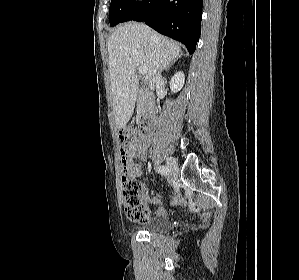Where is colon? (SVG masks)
I'll list each match as a JSON object with an SVG mask.
<instances>
[{
	"instance_id": "1",
	"label": "colon",
	"mask_w": 299,
	"mask_h": 280,
	"mask_svg": "<svg viewBox=\"0 0 299 280\" xmlns=\"http://www.w3.org/2000/svg\"><path fill=\"white\" fill-rule=\"evenodd\" d=\"M137 138L136 129L125 126L119 129L122 158V198L124 211L131 221L144 222L148 218V209L141 199L142 183L130 172L126 146Z\"/></svg>"
}]
</instances>
